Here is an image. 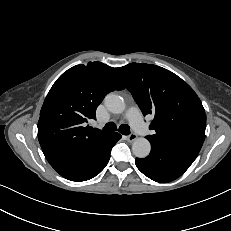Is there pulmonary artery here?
<instances>
[{
    "mask_svg": "<svg viewBox=\"0 0 231 231\" xmlns=\"http://www.w3.org/2000/svg\"><path fill=\"white\" fill-rule=\"evenodd\" d=\"M125 119L128 120L136 133L144 134L149 131L148 126L144 123L141 112L137 107L129 108L125 113Z\"/></svg>",
    "mask_w": 231,
    "mask_h": 231,
    "instance_id": "pulmonary-artery-1",
    "label": "pulmonary artery"
}]
</instances>
